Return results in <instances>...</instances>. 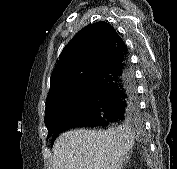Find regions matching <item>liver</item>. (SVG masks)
<instances>
[{
  "label": "liver",
  "instance_id": "6515ba94",
  "mask_svg": "<svg viewBox=\"0 0 177 169\" xmlns=\"http://www.w3.org/2000/svg\"><path fill=\"white\" fill-rule=\"evenodd\" d=\"M133 145L128 127L70 130L54 143L52 169H121Z\"/></svg>",
  "mask_w": 177,
  "mask_h": 169
}]
</instances>
